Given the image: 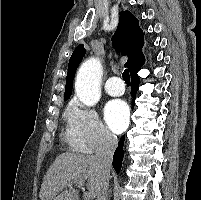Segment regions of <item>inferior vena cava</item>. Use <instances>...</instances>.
Instances as JSON below:
<instances>
[{
	"mask_svg": "<svg viewBox=\"0 0 201 200\" xmlns=\"http://www.w3.org/2000/svg\"><path fill=\"white\" fill-rule=\"evenodd\" d=\"M117 137L111 133H105L101 139L98 151L95 155L96 161L102 170V180L97 193V200H107L109 186V172L112 157L117 147Z\"/></svg>",
	"mask_w": 201,
	"mask_h": 200,
	"instance_id": "inferior-vena-cava-1",
	"label": "inferior vena cava"
}]
</instances>
